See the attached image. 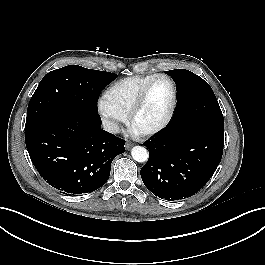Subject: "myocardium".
<instances>
[{
	"label": "myocardium",
	"instance_id": "obj_1",
	"mask_svg": "<svg viewBox=\"0 0 265 265\" xmlns=\"http://www.w3.org/2000/svg\"><path fill=\"white\" fill-rule=\"evenodd\" d=\"M159 79H166L171 84L172 101H171V104H170V107H169V110H168L166 116L164 117V119L159 124H157L153 128L147 129V130L138 131L142 136H145V137H151V136L157 135V134L161 133L163 130H165L168 127V125L170 124V122L172 121L176 107H177L178 90H177V86H176L175 81L169 75L157 74L142 88L137 99L135 100V102H134V104H133V106L129 112V115H128L130 126L132 128H134V121H135L136 116L138 115V113L142 109L151 87Z\"/></svg>",
	"mask_w": 265,
	"mask_h": 265
}]
</instances>
